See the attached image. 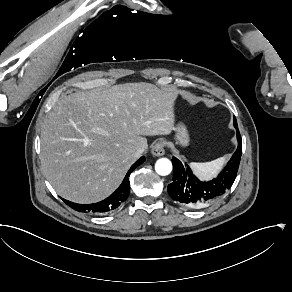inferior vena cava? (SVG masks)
<instances>
[{
	"instance_id": "obj_1",
	"label": "inferior vena cava",
	"mask_w": 292,
	"mask_h": 292,
	"mask_svg": "<svg viewBox=\"0 0 292 292\" xmlns=\"http://www.w3.org/2000/svg\"><path fill=\"white\" fill-rule=\"evenodd\" d=\"M144 150H145V147H138V148L136 149L135 156H136L137 158L140 157V156L143 154Z\"/></svg>"
}]
</instances>
